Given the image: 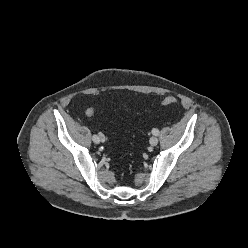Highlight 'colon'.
Here are the masks:
<instances>
[{"instance_id": "obj_1", "label": "colon", "mask_w": 248, "mask_h": 248, "mask_svg": "<svg viewBox=\"0 0 248 248\" xmlns=\"http://www.w3.org/2000/svg\"><path fill=\"white\" fill-rule=\"evenodd\" d=\"M176 103H177V99L175 97H173V96H167L161 102V104L163 106H170V105H174ZM87 113H88L89 116L94 115V108H89Z\"/></svg>"}]
</instances>
